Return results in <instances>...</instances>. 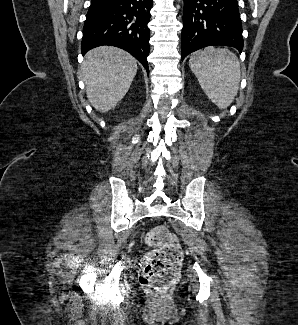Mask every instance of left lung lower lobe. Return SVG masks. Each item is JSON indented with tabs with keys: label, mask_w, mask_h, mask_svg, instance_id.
Returning <instances> with one entry per match:
<instances>
[{
	"label": "left lung lower lobe",
	"mask_w": 298,
	"mask_h": 325,
	"mask_svg": "<svg viewBox=\"0 0 298 325\" xmlns=\"http://www.w3.org/2000/svg\"><path fill=\"white\" fill-rule=\"evenodd\" d=\"M211 45L243 49L237 0H184L181 59Z\"/></svg>",
	"instance_id": "obj_1"
}]
</instances>
